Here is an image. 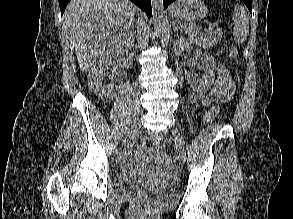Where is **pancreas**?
Here are the masks:
<instances>
[{
	"mask_svg": "<svg viewBox=\"0 0 293 219\" xmlns=\"http://www.w3.org/2000/svg\"><path fill=\"white\" fill-rule=\"evenodd\" d=\"M182 28L193 37V39L204 46L216 45L218 40L222 38V31H202L201 28L193 24H183Z\"/></svg>",
	"mask_w": 293,
	"mask_h": 219,
	"instance_id": "obj_1",
	"label": "pancreas"
}]
</instances>
